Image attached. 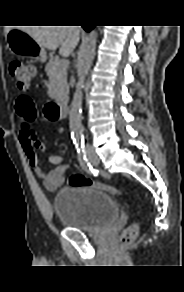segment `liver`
Wrapping results in <instances>:
<instances>
[{
  "label": "liver",
  "instance_id": "obj_1",
  "mask_svg": "<svg viewBox=\"0 0 184 292\" xmlns=\"http://www.w3.org/2000/svg\"><path fill=\"white\" fill-rule=\"evenodd\" d=\"M14 26L6 29L9 33ZM18 29L28 33L39 45L48 50H56L60 55L69 56L80 39L79 26H20Z\"/></svg>",
  "mask_w": 184,
  "mask_h": 292
}]
</instances>
